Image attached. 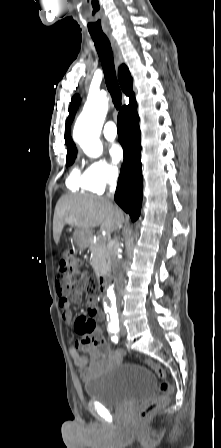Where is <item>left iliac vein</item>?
<instances>
[{
	"mask_svg": "<svg viewBox=\"0 0 221 448\" xmlns=\"http://www.w3.org/2000/svg\"><path fill=\"white\" fill-rule=\"evenodd\" d=\"M121 335H125L126 334V329L123 325H121V330H120Z\"/></svg>",
	"mask_w": 221,
	"mask_h": 448,
	"instance_id": "1",
	"label": "left iliac vein"
}]
</instances>
